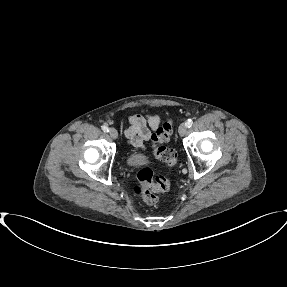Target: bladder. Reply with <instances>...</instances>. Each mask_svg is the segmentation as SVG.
Listing matches in <instances>:
<instances>
[{"label":"bladder","mask_w":287,"mask_h":287,"mask_svg":"<svg viewBox=\"0 0 287 287\" xmlns=\"http://www.w3.org/2000/svg\"><path fill=\"white\" fill-rule=\"evenodd\" d=\"M147 163L146 158L143 155L140 154H132L127 157L126 164L131 169H141L145 167V164Z\"/></svg>","instance_id":"31cf9c89"}]
</instances>
